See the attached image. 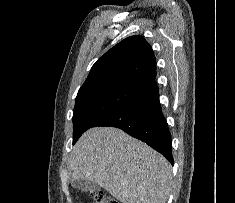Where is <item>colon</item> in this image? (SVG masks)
<instances>
[{
	"label": "colon",
	"mask_w": 235,
	"mask_h": 203,
	"mask_svg": "<svg viewBox=\"0 0 235 203\" xmlns=\"http://www.w3.org/2000/svg\"><path fill=\"white\" fill-rule=\"evenodd\" d=\"M91 196L93 203H118L117 200L102 191L93 192Z\"/></svg>",
	"instance_id": "obj_1"
}]
</instances>
